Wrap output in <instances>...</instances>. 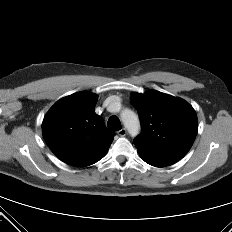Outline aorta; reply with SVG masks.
Returning <instances> with one entry per match:
<instances>
[{
  "label": "aorta",
  "mask_w": 232,
  "mask_h": 232,
  "mask_svg": "<svg viewBox=\"0 0 232 232\" xmlns=\"http://www.w3.org/2000/svg\"><path fill=\"white\" fill-rule=\"evenodd\" d=\"M121 120L131 136H136L139 133L140 122L137 114L134 111L130 109H125L122 111Z\"/></svg>",
  "instance_id": "1"
}]
</instances>
